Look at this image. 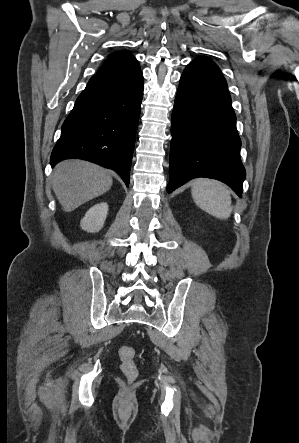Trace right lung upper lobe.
I'll return each mask as SVG.
<instances>
[{"instance_id":"cb5924a9","label":"right lung upper lobe","mask_w":299,"mask_h":443,"mask_svg":"<svg viewBox=\"0 0 299 443\" xmlns=\"http://www.w3.org/2000/svg\"><path fill=\"white\" fill-rule=\"evenodd\" d=\"M139 68L136 58L129 52L112 53L97 73L126 72Z\"/></svg>"}]
</instances>
